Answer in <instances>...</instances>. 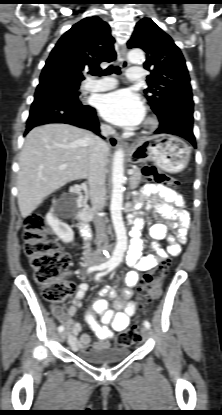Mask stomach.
Wrapping results in <instances>:
<instances>
[{"label": "stomach", "instance_id": "obj_1", "mask_svg": "<svg viewBox=\"0 0 222 415\" xmlns=\"http://www.w3.org/2000/svg\"><path fill=\"white\" fill-rule=\"evenodd\" d=\"M190 153V148L182 139L162 134L135 143L130 150V157L136 163L153 161L160 169L177 173L187 167Z\"/></svg>", "mask_w": 222, "mask_h": 415}]
</instances>
